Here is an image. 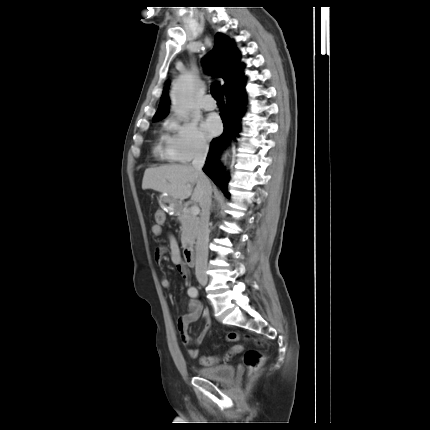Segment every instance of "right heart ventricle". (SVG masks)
Returning a JSON list of instances; mask_svg holds the SVG:
<instances>
[{"label": "right heart ventricle", "instance_id": "right-heart-ventricle-1", "mask_svg": "<svg viewBox=\"0 0 430 430\" xmlns=\"http://www.w3.org/2000/svg\"><path fill=\"white\" fill-rule=\"evenodd\" d=\"M163 143H164V136L161 135L159 137V144L155 147V152L165 156L164 147L162 146Z\"/></svg>", "mask_w": 430, "mask_h": 430}]
</instances>
